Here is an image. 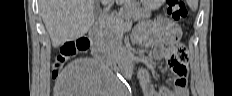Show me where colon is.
Returning <instances> with one entry per match:
<instances>
[{
    "label": "colon",
    "instance_id": "colon-1",
    "mask_svg": "<svg viewBox=\"0 0 232 96\" xmlns=\"http://www.w3.org/2000/svg\"><path fill=\"white\" fill-rule=\"evenodd\" d=\"M166 15L169 22H174V25H178V30H174V35H167L168 39H175L179 35V24H183L188 19V11L182 0H167ZM155 22H158L156 20ZM89 47V42L86 38H80L76 41L65 42L55 57L52 66V76L56 78L59 74L64 63L74 57L77 53L85 52ZM164 57L168 58L175 73H187L186 65L182 60L186 58V51L184 47L171 44L169 46L161 48Z\"/></svg>",
    "mask_w": 232,
    "mask_h": 96
}]
</instances>
